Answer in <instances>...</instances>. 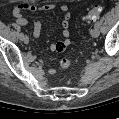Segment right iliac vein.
Masks as SVG:
<instances>
[{
    "label": "right iliac vein",
    "mask_w": 119,
    "mask_h": 119,
    "mask_svg": "<svg viewBox=\"0 0 119 119\" xmlns=\"http://www.w3.org/2000/svg\"><path fill=\"white\" fill-rule=\"evenodd\" d=\"M22 41L25 43V44H28L29 43V38L27 36H24Z\"/></svg>",
    "instance_id": "right-iliac-vein-1"
}]
</instances>
